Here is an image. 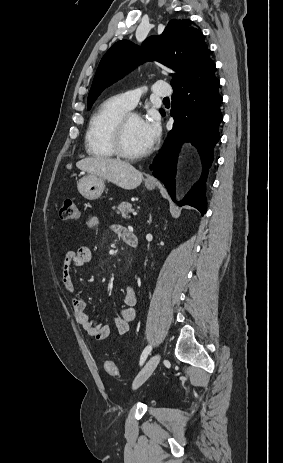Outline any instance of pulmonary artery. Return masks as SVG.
I'll list each match as a JSON object with an SVG mask.
<instances>
[{
	"instance_id": "e3ab8cb5",
	"label": "pulmonary artery",
	"mask_w": 283,
	"mask_h": 463,
	"mask_svg": "<svg viewBox=\"0 0 283 463\" xmlns=\"http://www.w3.org/2000/svg\"><path fill=\"white\" fill-rule=\"evenodd\" d=\"M150 90L153 93V95L161 98H168L172 92L170 86L166 82L162 81L155 82L151 86ZM141 96L142 95L140 89L126 91L118 95L122 104L129 110L133 109L136 106Z\"/></svg>"
}]
</instances>
